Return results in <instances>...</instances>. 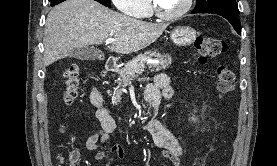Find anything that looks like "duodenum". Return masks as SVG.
<instances>
[{
    "instance_id": "obj_1",
    "label": "duodenum",
    "mask_w": 277,
    "mask_h": 166,
    "mask_svg": "<svg viewBox=\"0 0 277 166\" xmlns=\"http://www.w3.org/2000/svg\"><path fill=\"white\" fill-rule=\"evenodd\" d=\"M119 67L118 62L114 58H108L105 64V68L101 73L102 78L109 76L110 74L114 73ZM159 95L156 91L150 93L149 102L154 106L157 107L159 104Z\"/></svg>"
}]
</instances>
